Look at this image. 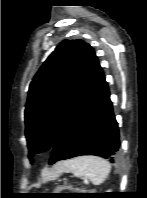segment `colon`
<instances>
[{
    "mask_svg": "<svg viewBox=\"0 0 147 198\" xmlns=\"http://www.w3.org/2000/svg\"><path fill=\"white\" fill-rule=\"evenodd\" d=\"M60 190H69V191H83L84 189L82 188H76V187H71V186H65L59 188Z\"/></svg>",
    "mask_w": 147,
    "mask_h": 198,
    "instance_id": "obj_1",
    "label": "colon"
}]
</instances>
